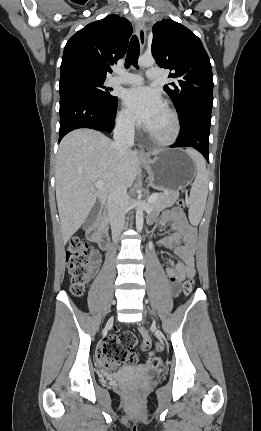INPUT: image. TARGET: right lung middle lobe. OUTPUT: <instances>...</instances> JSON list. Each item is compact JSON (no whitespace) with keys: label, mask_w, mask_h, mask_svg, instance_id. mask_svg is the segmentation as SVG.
<instances>
[{"label":"right lung middle lobe","mask_w":261,"mask_h":431,"mask_svg":"<svg viewBox=\"0 0 261 431\" xmlns=\"http://www.w3.org/2000/svg\"><path fill=\"white\" fill-rule=\"evenodd\" d=\"M106 78L95 76L84 71H71L60 75V91L69 89L90 94L101 102H110L115 96L110 95L112 89L103 86Z\"/></svg>","instance_id":"obj_1"}]
</instances>
